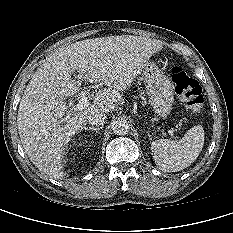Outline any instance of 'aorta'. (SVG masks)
Returning a JSON list of instances; mask_svg holds the SVG:
<instances>
[{"mask_svg": "<svg viewBox=\"0 0 233 233\" xmlns=\"http://www.w3.org/2000/svg\"><path fill=\"white\" fill-rule=\"evenodd\" d=\"M112 129L116 135H125L129 132L130 123L125 118H117L112 123Z\"/></svg>", "mask_w": 233, "mask_h": 233, "instance_id": "aorta-1", "label": "aorta"}]
</instances>
